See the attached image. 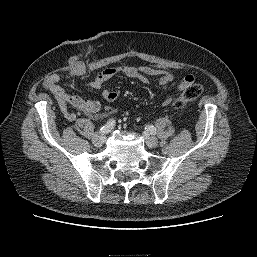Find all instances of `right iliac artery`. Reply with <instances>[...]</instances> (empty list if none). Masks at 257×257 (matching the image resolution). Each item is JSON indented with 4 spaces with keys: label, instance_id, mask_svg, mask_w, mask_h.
<instances>
[{
    "label": "right iliac artery",
    "instance_id": "1",
    "mask_svg": "<svg viewBox=\"0 0 257 257\" xmlns=\"http://www.w3.org/2000/svg\"><path fill=\"white\" fill-rule=\"evenodd\" d=\"M114 124H115V121L111 119L109 122H107V124H105L100 128L99 133L106 134L110 132L113 129Z\"/></svg>",
    "mask_w": 257,
    "mask_h": 257
}]
</instances>
